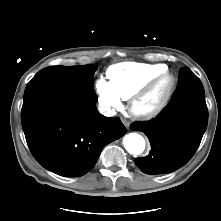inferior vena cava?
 <instances>
[{"label": "inferior vena cava", "instance_id": "obj_1", "mask_svg": "<svg viewBox=\"0 0 221 221\" xmlns=\"http://www.w3.org/2000/svg\"><path fill=\"white\" fill-rule=\"evenodd\" d=\"M100 113L105 115V116H113L115 114L114 111H111L110 108H107V107H101L99 109Z\"/></svg>", "mask_w": 221, "mask_h": 221}]
</instances>
